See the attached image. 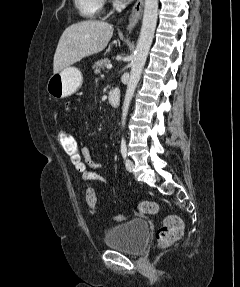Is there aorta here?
Returning <instances> with one entry per match:
<instances>
[{
	"instance_id": "obj_1",
	"label": "aorta",
	"mask_w": 240,
	"mask_h": 287,
	"mask_svg": "<svg viewBox=\"0 0 240 287\" xmlns=\"http://www.w3.org/2000/svg\"><path fill=\"white\" fill-rule=\"evenodd\" d=\"M158 0H145L140 36L134 52L129 82L122 107V127L125 126L129 106L151 47L157 24Z\"/></svg>"
}]
</instances>
